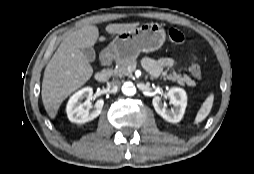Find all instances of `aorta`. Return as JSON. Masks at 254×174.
I'll list each match as a JSON object with an SVG mask.
<instances>
[{"mask_svg": "<svg viewBox=\"0 0 254 174\" xmlns=\"http://www.w3.org/2000/svg\"><path fill=\"white\" fill-rule=\"evenodd\" d=\"M122 92L126 96H133L136 94V88L131 82H125L122 86Z\"/></svg>", "mask_w": 254, "mask_h": 174, "instance_id": "aorta-1", "label": "aorta"}]
</instances>
